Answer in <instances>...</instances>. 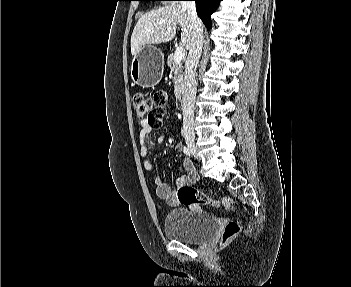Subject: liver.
I'll list each match as a JSON object with an SVG mask.
<instances>
[{"mask_svg": "<svg viewBox=\"0 0 351 287\" xmlns=\"http://www.w3.org/2000/svg\"><path fill=\"white\" fill-rule=\"evenodd\" d=\"M181 27V45L187 50L192 39V27L187 13L179 3H173L142 15L131 35V54L136 55L142 46L171 41Z\"/></svg>", "mask_w": 351, "mask_h": 287, "instance_id": "liver-1", "label": "liver"}]
</instances>
